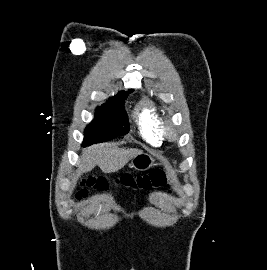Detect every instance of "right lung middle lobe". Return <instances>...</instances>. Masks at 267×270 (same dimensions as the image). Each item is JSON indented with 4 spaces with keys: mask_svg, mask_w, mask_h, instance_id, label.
Listing matches in <instances>:
<instances>
[{
    "mask_svg": "<svg viewBox=\"0 0 267 270\" xmlns=\"http://www.w3.org/2000/svg\"><path fill=\"white\" fill-rule=\"evenodd\" d=\"M127 96V92L118 93L96 109L94 120L85 129L83 146L109 141L129 132L128 117L123 106Z\"/></svg>",
    "mask_w": 267,
    "mask_h": 270,
    "instance_id": "right-lung-middle-lobe-1",
    "label": "right lung middle lobe"
}]
</instances>
